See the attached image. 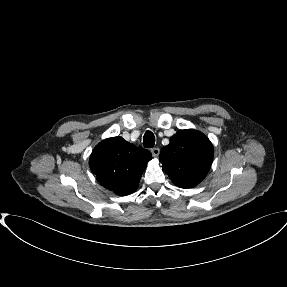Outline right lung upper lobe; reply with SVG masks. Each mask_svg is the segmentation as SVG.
<instances>
[{
  "mask_svg": "<svg viewBox=\"0 0 287 287\" xmlns=\"http://www.w3.org/2000/svg\"><path fill=\"white\" fill-rule=\"evenodd\" d=\"M151 159L150 151L117 136L98 143L90 156L89 166L102 186L117 195L126 196L138 188Z\"/></svg>",
  "mask_w": 287,
  "mask_h": 287,
  "instance_id": "cb5924a9",
  "label": "right lung upper lobe"
}]
</instances>
